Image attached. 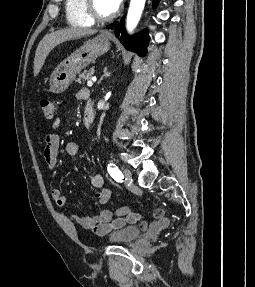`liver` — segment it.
Returning <instances> with one entry per match:
<instances>
[{
    "label": "liver",
    "mask_w": 255,
    "mask_h": 287,
    "mask_svg": "<svg viewBox=\"0 0 255 287\" xmlns=\"http://www.w3.org/2000/svg\"><path fill=\"white\" fill-rule=\"evenodd\" d=\"M92 34H97V30H91V28H64V30L46 34L37 46L34 58V76H38L48 54L55 46H59L62 42H68V40H78V38H84V36H92Z\"/></svg>",
    "instance_id": "obj_1"
}]
</instances>
